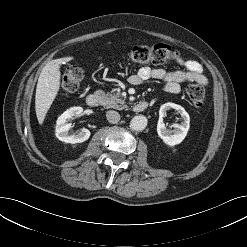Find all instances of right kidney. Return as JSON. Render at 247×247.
<instances>
[{
  "label": "right kidney",
  "mask_w": 247,
  "mask_h": 247,
  "mask_svg": "<svg viewBox=\"0 0 247 247\" xmlns=\"http://www.w3.org/2000/svg\"><path fill=\"white\" fill-rule=\"evenodd\" d=\"M83 108L82 107H71L66 110L61 116L58 117L56 122V137L65 143H82L89 139L90 131L86 128L81 129L77 134H69V129L71 128V124L67 123V120L70 118H74L82 115Z\"/></svg>",
  "instance_id": "obj_1"
}]
</instances>
